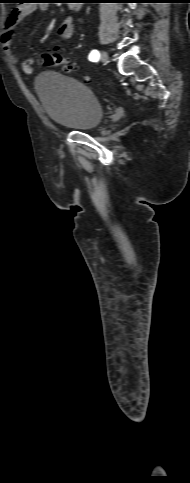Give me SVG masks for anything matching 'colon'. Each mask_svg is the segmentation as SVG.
Masks as SVG:
<instances>
[{"instance_id": "obj_1", "label": "colon", "mask_w": 190, "mask_h": 483, "mask_svg": "<svg viewBox=\"0 0 190 483\" xmlns=\"http://www.w3.org/2000/svg\"><path fill=\"white\" fill-rule=\"evenodd\" d=\"M44 64L48 67H59L65 72L76 70V66L68 59L61 56L57 51L46 52L43 56Z\"/></svg>"}]
</instances>
